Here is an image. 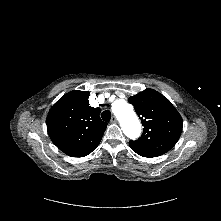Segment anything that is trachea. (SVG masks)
Wrapping results in <instances>:
<instances>
[{
  "mask_svg": "<svg viewBox=\"0 0 221 221\" xmlns=\"http://www.w3.org/2000/svg\"><path fill=\"white\" fill-rule=\"evenodd\" d=\"M101 117L105 122H109L111 119V112L109 110H105L102 112Z\"/></svg>",
  "mask_w": 221,
  "mask_h": 221,
  "instance_id": "1",
  "label": "trachea"
}]
</instances>
